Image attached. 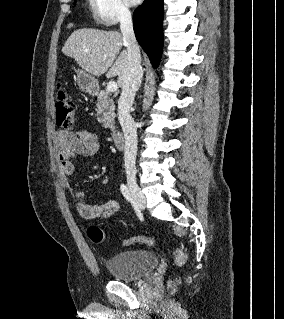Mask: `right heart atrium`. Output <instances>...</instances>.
<instances>
[{"label": "right heart atrium", "instance_id": "right-heart-atrium-1", "mask_svg": "<svg viewBox=\"0 0 284 319\" xmlns=\"http://www.w3.org/2000/svg\"><path fill=\"white\" fill-rule=\"evenodd\" d=\"M95 18L103 25L112 26L131 17L125 0H91Z\"/></svg>", "mask_w": 284, "mask_h": 319}]
</instances>
